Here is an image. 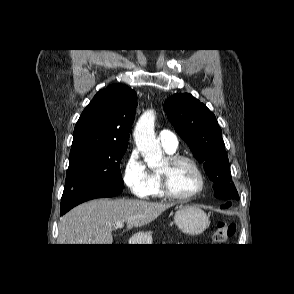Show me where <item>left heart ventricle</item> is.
I'll return each mask as SVG.
<instances>
[{
  "label": "left heart ventricle",
  "mask_w": 294,
  "mask_h": 294,
  "mask_svg": "<svg viewBox=\"0 0 294 294\" xmlns=\"http://www.w3.org/2000/svg\"><path fill=\"white\" fill-rule=\"evenodd\" d=\"M168 168L167 161L160 170ZM170 182L172 189L181 195H189L199 187V177L195 170L187 163H182L170 171Z\"/></svg>",
  "instance_id": "obj_1"
}]
</instances>
